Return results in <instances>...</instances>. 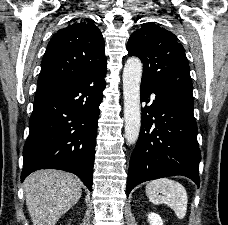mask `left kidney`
Wrapping results in <instances>:
<instances>
[{
  "mask_svg": "<svg viewBox=\"0 0 228 225\" xmlns=\"http://www.w3.org/2000/svg\"><path fill=\"white\" fill-rule=\"evenodd\" d=\"M147 219L150 225H163L161 217H159V215H156V213H149V215H147Z\"/></svg>",
  "mask_w": 228,
  "mask_h": 225,
  "instance_id": "1",
  "label": "left kidney"
}]
</instances>
